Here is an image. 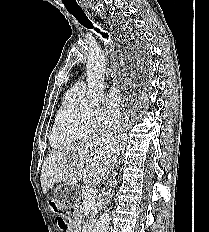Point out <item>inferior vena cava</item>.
Returning <instances> with one entry per match:
<instances>
[{
    "instance_id": "602c4592",
    "label": "inferior vena cava",
    "mask_w": 209,
    "mask_h": 232,
    "mask_svg": "<svg viewBox=\"0 0 209 232\" xmlns=\"http://www.w3.org/2000/svg\"><path fill=\"white\" fill-rule=\"evenodd\" d=\"M113 131H114V128L108 129V131L104 134V136H105L106 141L108 142V146H109L111 152L112 153H116V149L115 148H116L117 141H116V137L114 136ZM113 165L108 166L107 169L105 170V172L103 174L104 180L108 179V174L113 169Z\"/></svg>"
}]
</instances>
